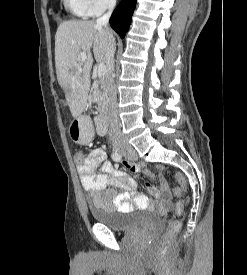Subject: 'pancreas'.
<instances>
[{"instance_id": "obj_1", "label": "pancreas", "mask_w": 247, "mask_h": 275, "mask_svg": "<svg viewBox=\"0 0 247 275\" xmlns=\"http://www.w3.org/2000/svg\"><path fill=\"white\" fill-rule=\"evenodd\" d=\"M91 102L97 104V111L99 113H105L108 107V95L105 88L104 80L101 79L96 82L93 88V94L91 97Z\"/></svg>"}]
</instances>
